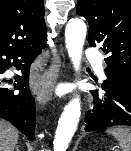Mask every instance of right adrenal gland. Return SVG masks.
<instances>
[{"label":"right adrenal gland","mask_w":131,"mask_h":151,"mask_svg":"<svg viewBox=\"0 0 131 151\" xmlns=\"http://www.w3.org/2000/svg\"><path fill=\"white\" fill-rule=\"evenodd\" d=\"M16 151H19V146H16V149H15Z\"/></svg>","instance_id":"obj_1"}]
</instances>
